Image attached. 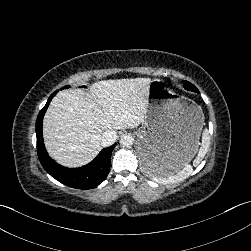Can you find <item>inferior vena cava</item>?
<instances>
[{
  "label": "inferior vena cava",
  "mask_w": 251,
  "mask_h": 251,
  "mask_svg": "<svg viewBox=\"0 0 251 251\" xmlns=\"http://www.w3.org/2000/svg\"><path fill=\"white\" fill-rule=\"evenodd\" d=\"M116 140H117V132L112 129L105 130L101 134L100 141L103 147L111 146Z\"/></svg>",
  "instance_id": "inferior-vena-cava-1"
}]
</instances>
